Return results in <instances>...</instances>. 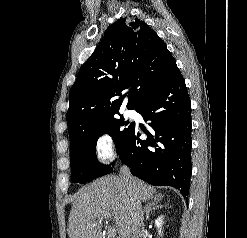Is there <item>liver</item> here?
Listing matches in <instances>:
<instances>
[{"label": "liver", "mask_w": 247, "mask_h": 238, "mask_svg": "<svg viewBox=\"0 0 247 238\" xmlns=\"http://www.w3.org/2000/svg\"><path fill=\"white\" fill-rule=\"evenodd\" d=\"M133 184L139 200L154 198V187L137 178H133ZM108 215L115 221L119 238H130V196L115 175L101 177L77 192L69 215V238H101V221Z\"/></svg>", "instance_id": "1"}]
</instances>
